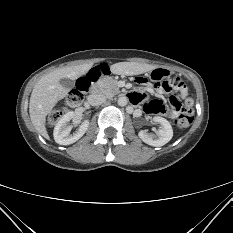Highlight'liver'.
Returning <instances> with one entry per match:
<instances>
[{
  "instance_id": "liver-1",
  "label": "liver",
  "mask_w": 233,
  "mask_h": 233,
  "mask_svg": "<svg viewBox=\"0 0 233 233\" xmlns=\"http://www.w3.org/2000/svg\"><path fill=\"white\" fill-rule=\"evenodd\" d=\"M92 66V63H86L57 69L41 77L35 84L30 97L29 114L33 126L44 138L49 139L45 127L46 116L68 93V90L60 84V80L62 78L76 80L85 75ZM153 69H155L153 65L135 62H119L110 66L113 74L127 76L143 74Z\"/></svg>"
}]
</instances>
